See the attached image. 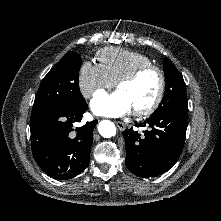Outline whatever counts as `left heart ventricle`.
<instances>
[{
    "label": "left heart ventricle",
    "instance_id": "1",
    "mask_svg": "<svg viewBox=\"0 0 221 221\" xmlns=\"http://www.w3.org/2000/svg\"><path fill=\"white\" fill-rule=\"evenodd\" d=\"M159 76L154 71H148L131 83L118 88L130 102L133 110L149 106L157 96L159 90Z\"/></svg>",
    "mask_w": 221,
    "mask_h": 221
}]
</instances>
